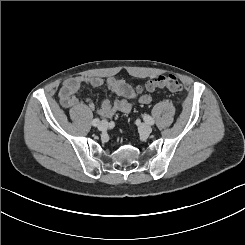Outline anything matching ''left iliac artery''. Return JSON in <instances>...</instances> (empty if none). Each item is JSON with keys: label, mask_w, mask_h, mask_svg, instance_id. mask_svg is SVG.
<instances>
[{"label": "left iliac artery", "mask_w": 245, "mask_h": 245, "mask_svg": "<svg viewBox=\"0 0 245 245\" xmlns=\"http://www.w3.org/2000/svg\"><path fill=\"white\" fill-rule=\"evenodd\" d=\"M144 120L145 122H147L149 125H153L154 124V119L152 117H150L149 115H145L144 116Z\"/></svg>", "instance_id": "1"}]
</instances>
